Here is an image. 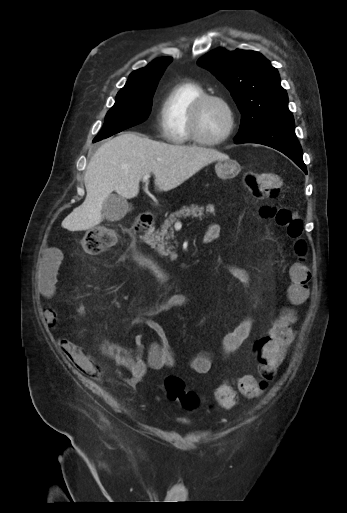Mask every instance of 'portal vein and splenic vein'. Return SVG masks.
I'll list each match as a JSON object with an SVG mask.
<instances>
[{"mask_svg": "<svg viewBox=\"0 0 347 513\" xmlns=\"http://www.w3.org/2000/svg\"><path fill=\"white\" fill-rule=\"evenodd\" d=\"M150 175L149 174H146L143 176V181H147L149 179ZM175 226H181V222L180 221H177L175 223Z\"/></svg>", "mask_w": 347, "mask_h": 513, "instance_id": "1", "label": "portal vein and splenic vein"}]
</instances>
